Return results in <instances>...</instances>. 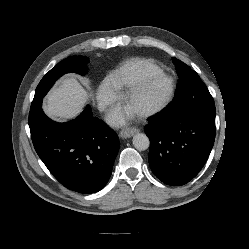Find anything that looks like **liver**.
<instances>
[{
	"label": "liver",
	"instance_id": "1",
	"mask_svg": "<svg viewBox=\"0 0 249 249\" xmlns=\"http://www.w3.org/2000/svg\"><path fill=\"white\" fill-rule=\"evenodd\" d=\"M89 97L88 91L74 77H66L47 95L43 109L51 118L72 119L81 112Z\"/></svg>",
	"mask_w": 249,
	"mask_h": 249
}]
</instances>
